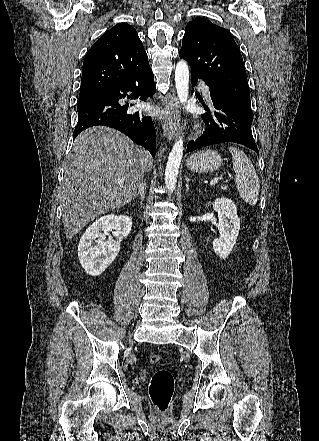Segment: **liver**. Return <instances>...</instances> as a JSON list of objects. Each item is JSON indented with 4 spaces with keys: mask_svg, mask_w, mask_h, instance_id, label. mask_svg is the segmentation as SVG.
<instances>
[{
    "mask_svg": "<svg viewBox=\"0 0 319 441\" xmlns=\"http://www.w3.org/2000/svg\"><path fill=\"white\" fill-rule=\"evenodd\" d=\"M151 166L148 151L115 129L95 126L81 132L61 183L66 236L72 238L93 219L133 200Z\"/></svg>",
    "mask_w": 319,
    "mask_h": 441,
    "instance_id": "6515ba94",
    "label": "liver"
}]
</instances>
